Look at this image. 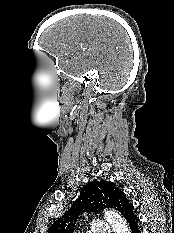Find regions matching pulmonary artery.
Returning a JSON list of instances; mask_svg holds the SVG:
<instances>
[{
	"instance_id": "e3ab8cb5",
	"label": "pulmonary artery",
	"mask_w": 174,
	"mask_h": 233,
	"mask_svg": "<svg viewBox=\"0 0 174 233\" xmlns=\"http://www.w3.org/2000/svg\"><path fill=\"white\" fill-rule=\"evenodd\" d=\"M111 228L109 224L105 221H94L91 226L92 233H110Z\"/></svg>"
}]
</instances>
